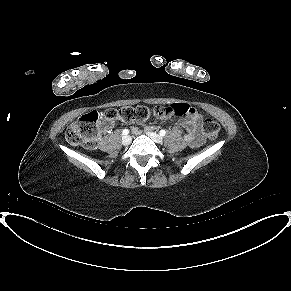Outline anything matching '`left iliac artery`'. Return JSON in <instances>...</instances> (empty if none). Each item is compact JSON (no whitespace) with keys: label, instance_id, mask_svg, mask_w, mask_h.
<instances>
[{"label":"left iliac artery","instance_id":"44dca946","mask_svg":"<svg viewBox=\"0 0 291 291\" xmlns=\"http://www.w3.org/2000/svg\"><path fill=\"white\" fill-rule=\"evenodd\" d=\"M159 134H160V136H165L166 131H165V130H161V131L159 132Z\"/></svg>","mask_w":291,"mask_h":291}]
</instances>
